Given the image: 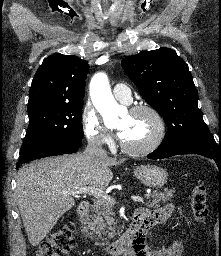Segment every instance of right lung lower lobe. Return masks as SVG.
<instances>
[{
    "label": "right lung lower lobe",
    "instance_id": "right-lung-lower-lobe-1",
    "mask_svg": "<svg viewBox=\"0 0 221 256\" xmlns=\"http://www.w3.org/2000/svg\"><path fill=\"white\" fill-rule=\"evenodd\" d=\"M81 139H71V138H63L58 140H51L45 142L28 152L21 155L19 162L17 163L16 168H18L19 164L59 154H69L77 152L81 146Z\"/></svg>",
    "mask_w": 221,
    "mask_h": 256
}]
</instances>
